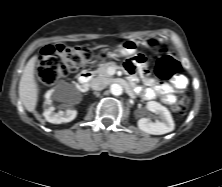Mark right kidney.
<instances>
[{"instance_id": "obj_1", "label": "right kidney", "mask_w": 222, "mask_h": 187, "mask_svg": "<svg viewBox=\"0 0 222 187\" xmlns=\"http://www.w3.org/2000/svg\"><path fill=\"white\" fill-rule=\"evenodd\" d=\"M45 105L48 107L45 109L43 115L46 121L53 124H60L70 122L77 116L76 110L66 109V111H59L55 113V108L51 105L52 99L62 100V98L57 94V92L50 90L45 95Z\"/></svg>"}]
</instances>
